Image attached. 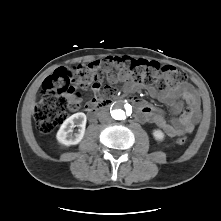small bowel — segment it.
Returning <instances> with one entry per match:
<instances>
[{
    "label": "small bowel",
    "mask_w": 221,
    "mask_h": 221,
    "mask_svg": "<svg viewBox=\"0 0 221 221\" xmlns=\"http://www.w3.org/2000/svg\"><path fill=\"white\" fill-rule=\"evenodd\" d=\"M110 60L115 63L118 58H111ZM117 65L118 71H113L109 67L105 68L108 83L116 84L122 82L125 92L130 93L134 91L138 87V83L134 82L119 64ZM92 90L93 98L86 104L87 108H90L99 100L100 84L92 87ZM147 90L151 97L166 104L175 117L168 120L163 112L154 105L144 101H136L137 119L139 121L154 123L170 137L193 132L200 119L201 109L199 98L191 85L183 82L166 89H157L151 86ZM80 103L79 99H74L72 107L77 109ZM184 106H186V109H184Z\"/></svg>",
    "instance_id": "1"
}]
</instances>
